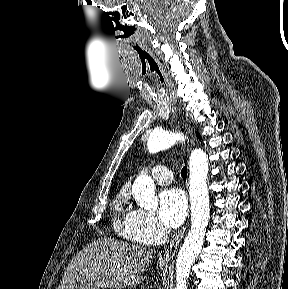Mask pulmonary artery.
Returning a JSON list of instances; mask_svg holds the SVG:
<instances>
[{"label":"pulmonary artery","instance_id":"e3ab8cb5","mask_svg":"<svg viewBox=\"0 0 288 289\" xmlns=\"http://www.w3.org/2000/svg\"><path fill=\"white\" fill-rule=\"evenodd\" d=\"M154 180L161 185L169 184L173 179L171 170L163 165H156L150 171Z\"/></svg>","mask_w":288,"mask_h":289}]
</instances>
